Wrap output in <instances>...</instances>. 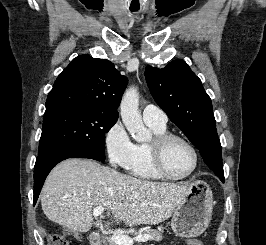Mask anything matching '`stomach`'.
I'll use <instances>...</instances> for the list:
<instances>
[{"label": "stomach", "instance_id": "stomach-1", "mask_svg": "<svg viewBox=\"0 0 266 245\" xmlns=\"http://www.w3.org/2000/svg\"><path fill=\"white\" fill-rule=\"evenodd\" d=\"M185 203L176 207L171 221L175 237H199L206 231L213 213L212 191L205 181H192Z\"/></svg>", "mask_w": 266, "mask_h": 245}]
</instances>
